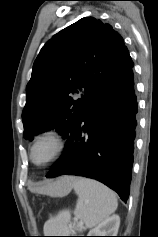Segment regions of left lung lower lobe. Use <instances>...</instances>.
I'll return each instance as SVG.
<instances>
[{
	"label": "left lung lower lobe",
	"mask_w": 158,
	"mask_h": 237,
	"mask_svg": "<svg viewBox=\"0 0 158 237\" xmlns=\"http://www.w3.org/2000/svg\"><path fill=\"white\" fill-rule=\"evenodd\" d=\"M137 99L132 68L101 90L80 114L61 158L46 177L78 175L96 179L129 196Z\"/></svg>",
	"instance_id": "left-lung-lower-lobe-1"
}]
</instances>
